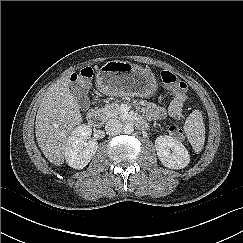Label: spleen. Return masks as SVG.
<instances>
[{
  "mask_svg": "<svg viewBox=\"0 0 243 243\" xmlns=\"http://www.w3.org/2000/svg\"><path fill=\"white\" fill-rule=\"evenodd\" d=\"M184 130L193 149L200 152L205 142V126L199 110H194L186 119Z\"/></svg>",
  "mask_w": 243,
  "mask_h": 243,
  "instance_id": "spleen-1",
  "label": "spleen"
}]
</instances>
